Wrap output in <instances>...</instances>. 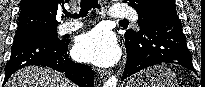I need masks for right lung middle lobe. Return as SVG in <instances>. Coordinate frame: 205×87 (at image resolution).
Masks as SVG:
<instances>
[{
  "mask_svg": "<svg viewBox=\"0 0 205 87\" xmlns=\"http://www.w3.org/2000/svg\"><path fill=\"white\" fill-rule=\"evenodd\" d=\"M28 36H43V37L59 40L57 28L49 29V30L32 31L26 33H16L15 38L28 37Z\"/></svg>",
  "mask_w": 205,
  "mask_h": 87,
  "instance_id": "obj_1",
  "label": "right lung middle lobe"
}]
</instances>
